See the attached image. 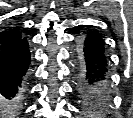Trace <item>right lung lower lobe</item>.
I'll list each match as a JSON object with an SVG mask.
<instances>
[{
    "label": "right lung lower lobe",
    "mask_w": 133,
    "mask_h": 118,
    "mask_svg": "<svg viewBox=\"0 0 133 118\" xmlns=\"http://www.w3.org/2000/svg\"><path fill=\"white\" fill-rule=\"evenodd\" d=\"M30 52L26 38L0 50V113L11 115L22 97L29 73Z\"/></svg>",
    "instance_id": "98d812e1"
}]
</instances>
